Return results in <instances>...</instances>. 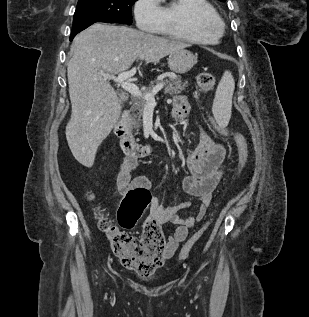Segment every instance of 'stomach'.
<instances>
[{"label": "stomach", "mask_w": 309, "mask_h": 317, "mask_svg": "<svg viewBox=\"0 0 309 317\" xmlns=\"http://www.w3.org/2000/svg\"><path fill=\"white\" fill-rule=\"evenodd\" d=\"M197 63V57L186 49L178 50L169 55L168 66L171 71L184 74Z\"/></svg>", "instance_id": "stomach-1"}]
</instances>
